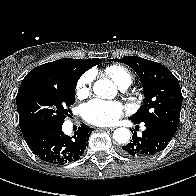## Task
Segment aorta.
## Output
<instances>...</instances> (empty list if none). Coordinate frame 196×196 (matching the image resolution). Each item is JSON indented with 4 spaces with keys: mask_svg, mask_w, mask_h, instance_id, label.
I'll return each instance as SVG.
<instances>
[{
    "mask_svg": "<svg viewBox=\"0 0 196 196\" xmlns=\"http://www.w3.org/2000/svg\"><path fill=\"white\" fill-rule=\"evenodd\" d=\"M94 93L102 99H113L117 95V88L109 79H101L94 83ZM131 133L127 128H117L113 138L119 144H125L130 140Z\"/></svg>",
    "mask_w": 196,
    "mask_h": 196,
    "instance_id": "762f6f07",
    "label": "aorta"
}]
</instances>
